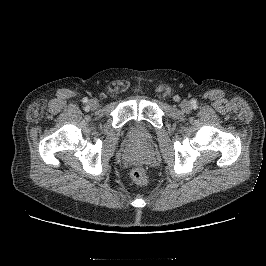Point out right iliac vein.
I'll list each match as a JSON object with an SVG mask.
<instances>
[{"mask_svg":"<svg viewBox=\"0 0 266 266\" xmlns=\"http://www.w3.org/2000/svg\"><path fill=\"white\" fill-rule=\"evenodd\" d=\"M99 106V103L97 100L95 99H92L89 101V107L92 109V110H96Z\"/></svg>","mask_w":266,"mask_h":266,"instance_id":"63e3f726","label":"right iliac vein"}]
</instances>
